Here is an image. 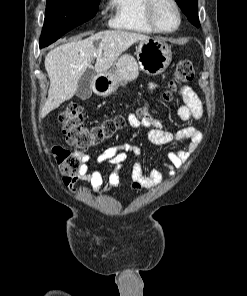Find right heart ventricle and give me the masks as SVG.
Instances as JSON below:
<instances>
[{"mask_svg": "<svg viewBox=\"0 0 247 296\" xmlns=\"http://www.w3.org/2000/svg\"><path fill=\"white\" fill-rule=\"evenodd\" d=\"M147 0H109L110 25L119 30L141 34L154 33L145 16Z\"/></svg>", "mask_w": 247, "mask_h": 296, "instance_id": "1", "label": "right heart ventricle"}]
</instances>
